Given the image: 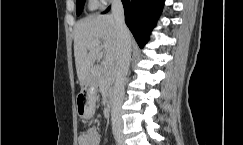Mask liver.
<instances>
[{"label":"liver","instance_id":"obj_1","mask_svg":"<svg viewBox=\"0 0 243 145\" xmlns=\"http://www.w3.org/2000/svg\"><path fill=\"white\" fill-rule=\"evenodd\" d=\"M73 36L77 76L82 85L93 72L102 49L114 59L117 58L119 39L116 22L112 15L89 16L76 23ZM94 41H99L101 45L89 48Z\"/></svg>","mask_w":243,"mask_h":145}]
</instances>
